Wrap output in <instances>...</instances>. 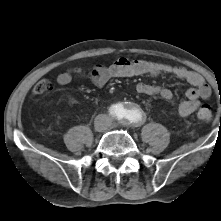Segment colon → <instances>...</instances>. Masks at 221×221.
Returning a JSON list of instances; mask_svg holds the SVG:
<instances>
[{
	"label": "colon",
	"mask_w": 221,
	"mask_h": 221,
	"mask_svg": "<svg viewBox=\"0 0 221 221\" xmlns=\"http://www.w3.org/2000/svg\"><path fill=\"white\" fill-rule=\"evenodd\" d=\"M53 89V82L49 78H44L40 80L34 87V95L40 96L50 92ZM213 112L210 106L202 105L198 108L197 118L203 122L208 123L212 120Z\"/></svg>",
	"instance_id": "5ec220e1"
}]
</instances>
